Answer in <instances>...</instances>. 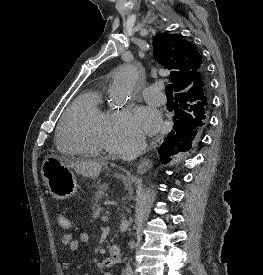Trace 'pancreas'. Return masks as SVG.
Returning a JSON list of instances; mask_svg holds the SVG:
<instances>
[{"label":"pancreas","instance_id":"pancreas-1","mask_svg":"<svg viewBox=\"0 0 263 275\" xmlns=\"http://www.w3.org/2000/svg\"><path fill=\"white\" fill-rule=\"evenodd\" d=\"M101 196H102V193H101V192H97V193L95 194V196H94L95 203H94V205H93V207H92V209H93L92 217H93L94 219L99 218L100 215L103 213V210H104L103 207H101V206L98 204V201L100 200Z\"/></svg>","mask_w":263,"mask_h":275}]
</instances>
